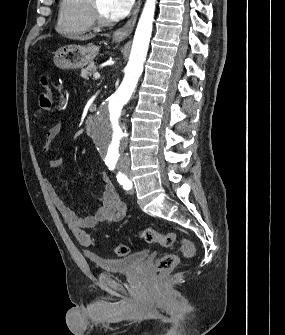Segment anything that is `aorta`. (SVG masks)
I'll return each instance as SVG.
<instances>
[{
    "label": "aorta",
    "mask_w": 285,
    "mask_h": 335,
    "mask_svg": "<svg viewBox=\"0 0 285 335\" xmlns=\"http://www.w3.org/2000/svg\"><path fill=\"white\" fill-rule=\"evenodd\" d=\"M155 4L156 0H147L143 8L129 62L124 68L125 76L121 86L118 90H111L109 100H102V105H99V112L96 114L95 125L88 127V134L96 137L94 146L102 147L100 156H105V160H118V156H121V152H125L127 146L130 131L127 130L126 125H120L118 117L125 104L130 102L131 97H134L137 82L142 76L152 34Z\"/></svg>",
    "instance_id": "obj_1"
}]
</instances>
